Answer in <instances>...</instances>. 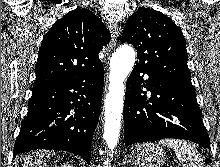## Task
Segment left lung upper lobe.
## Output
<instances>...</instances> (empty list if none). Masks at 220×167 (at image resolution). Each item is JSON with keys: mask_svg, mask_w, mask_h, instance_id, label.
Wrapping results in <instances>:
<instances>
[{"mask_svg": "<svg viewBox=\"0 0 220 167\" xmlns=\"http://www.w3.org/2000/svg\"><path fill=\"white\" fill-rule=\"evenodd\" d=\"M122 41L135 46L137 66L167 78L191 81L183 33L161 12L139 8L128 19Z\"/></svg>", "mask_w": 220, "mask_h": 167, "instance_id": "left-lung-upper-lobe-1", "label": "left lung upper lobe"}]
</instances>
